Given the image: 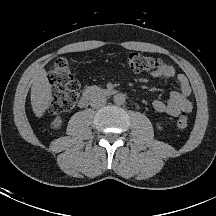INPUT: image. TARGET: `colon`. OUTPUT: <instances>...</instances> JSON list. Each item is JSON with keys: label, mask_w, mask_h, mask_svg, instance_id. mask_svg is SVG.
I'll list each match as a JSON object with an SVG mask.
<instances>
[{"label": "colon", "mask_w": 216, "mask_h": 216, "mask_svg": "<svg viewBox=\"0 0 216 216\" xmlns=\"http://www.w3.org/2000/svg\"><path fill=\"white\" fill-rule=\"evenodd\" d=\"M125 64L135 72H155L162 66L160 59L137 52L128 54L125 58ZM50 80L56 89L52 93L49 110L54 114L71 110L78 99L80 84L73 77L67 58L59 57L55 60L53 69L50 72ZM188 122L187 115L181 114L176 119V128L184 130L187 128Z\"/></svg>", "instance_id": "colon-1"}]
</instances>
